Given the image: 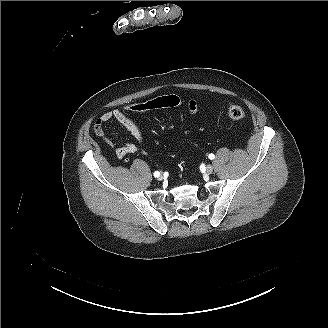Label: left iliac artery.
I'll list each match as a JSON object with an SVG mask.
<instances>
[{
	"instance_id": "left-iliac-artery-1",
	"label": "left iliac artery",
	"mask_w": 328,
	"mask_h": 328,
	"mask_svg": "<svg viewBox=\"0 0 328 328\" xmlns=\"http://www.w3.org/2000/svg\"><path fill=\"white\" fill-rule=\"evenodd\" d=\"M208 157H209V159L213 160L215 158V155L211 153V154H209Z\"/></svg>"
}]
</instances>
